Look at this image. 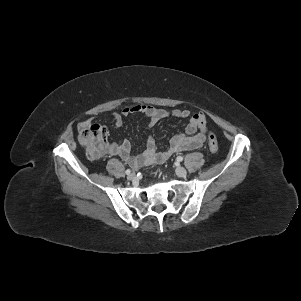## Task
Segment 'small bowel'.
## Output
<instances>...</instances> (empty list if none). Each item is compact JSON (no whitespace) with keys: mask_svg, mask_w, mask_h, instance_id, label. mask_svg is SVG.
<instances>
[{"mask_svg":"<svg viewBox=\"0 0 301 301\" xmlns=\"http://www.w3.org/2000/svg\"><path fill=\"white\" fill-rule=\"evenodd\" d=\"M134 113L144 115L148 121L149 127L155 126L168 117L181 119L188 118L189 121L185 132L174 136L170 140L168 147L164 150H158L153 137H149L145 142L144 148L135 154L133 153L132 146L128 140H123L120 143L114 142L107 146L105 151L106 155L119 156L125 163L133 168L154 163H163L175 153L201 148L206 142L207 119L201 112L192 114L186 109H174L168 111L151 105L136 104L123 108L120 113H114L112 115L113 123L117 127H121L123 117ZM91 121V119H88L80 122L78 125L79 129Z\"/></svg>","mask_w":301,"mask_h":301,"instance_id":"small-bowel-1","label":"small bowel"}]
</instances>
